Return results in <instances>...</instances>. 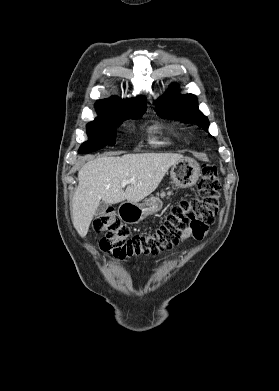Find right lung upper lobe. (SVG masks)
Segmentation results:
<instances>
[{
	"label": "right lung upper lobe",
	"mask_w": 279,
	"mask_h": 391,
	"mask_svg": "<svg viewBox=\"0 0 279 391\" xmlns=\"http://www.w3.org/2000/svg\"><path fill=\"white\" fill-rule=\"evenodd\" d=\"M95 106L98 114L130 113L146 108V99L143 96L138 97L137 99L125 100L111 97L110 99L98 100Z\"/></svg>",
	"instance_id": "right-lung-upper-lobe-1"
}]
</instances>
